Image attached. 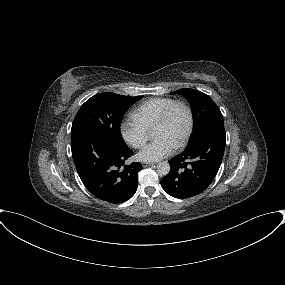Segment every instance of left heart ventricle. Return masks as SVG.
<instances>
[{
    "mask_svg": "<svg viewBox=\"0 0 285 285\" xmlns=\"http://www.w3.org/2000/svg\"><path fill=\"white\" fill-rule=\"evenodd\" d=\"M188 126V115L184 108L174 110L168 122L153 129V136L165 137L176 146L184 137Z\"/></svg>",
    "mask_w": 285,
    "mask_h": 285,
    "instance_id": "1",
    "label": "left heart ventricle"
}]
</instances>
